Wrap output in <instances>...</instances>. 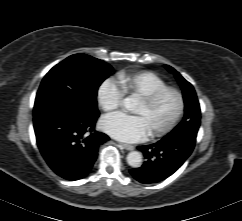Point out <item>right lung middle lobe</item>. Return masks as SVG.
<instances>
[{
  "mask_svg": "<svg viewBox=\"0 0 242 221\" xmlns=\"http://www.w3.org/2000/svg\"><path fill=\"white\" fill-rule=\"evenodd\" d=\"M113 68L85 54H74L54 66L43 78L33 114L60 110L80 116L98 113L97 90Z\"/></svg>",
  "mask_w": 242,
  "mask_h": 221,
  "instance_id": "right-lung-middle-lobe-1",
  "label": "right lung middle lobe"
}]
</instances>
